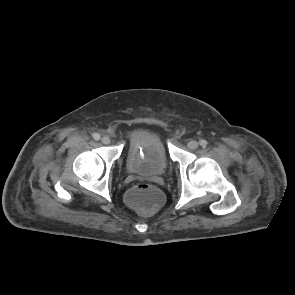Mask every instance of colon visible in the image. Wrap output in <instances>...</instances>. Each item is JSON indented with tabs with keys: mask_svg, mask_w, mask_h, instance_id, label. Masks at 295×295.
I'll use <instances>...</instances> for the list:
<instances>
[{
	"mask_svg": "<svg viewBox=\"0 0 295 295\" xmlns=\"http://www.w3.org/2000/svg\"><path fill=\"white\" fill-rule=\"evenodd\" d=\"M126 201L133 208L143 213H150L159 207L162 195L156 187L141 183L127 192Z\"/></svg>",
	"mask_w": 295,
	"mask_h": 295,
	"instance_id": "obj_1",
	"label": "colon"
}]
</instances>
